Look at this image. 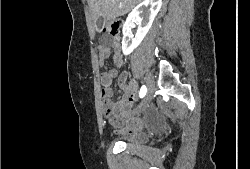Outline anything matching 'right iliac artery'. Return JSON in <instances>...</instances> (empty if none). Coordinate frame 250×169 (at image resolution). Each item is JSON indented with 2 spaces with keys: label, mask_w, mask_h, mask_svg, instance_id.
I'll return each instance as SVG.
<instances>
[{
  "label": "right iliac artery",
  "mask_w": 250,
  "mask_h": 169,
  "mask_svg": "<svg viewBox=\"0 0 250 169\" xmlns=\"http://www.w3.org/2000/svg\"><path fill=\"white\" fill-rule=\"evenodd\" d=\"M146 92H147V88H146L145 85H143V86L141 87L140 93H139L140 98H143V97L146 95Z\"/></svg>",
  "instance_id": "right-iliac-artery-1"
}]
</instances>
